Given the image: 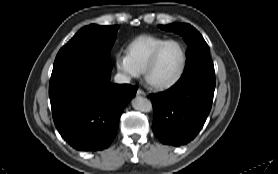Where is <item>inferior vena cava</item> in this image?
<instances>
[{"label":"inferior vena cava","mask_w":278,"mask_h":174,"mask_svg":"<svg viewBox=\"0 0 278 174\" xmlns=\"http://www.w3.org/2000/svg\"><path fill=\"white\" fill-rule=\"evenodd\" d=\"M114 81H115V83H118V84L129 83L130 76L122 74V73H117L114 77Z\"/></svg>","instance_id":"obj_1"}]
</instances>
